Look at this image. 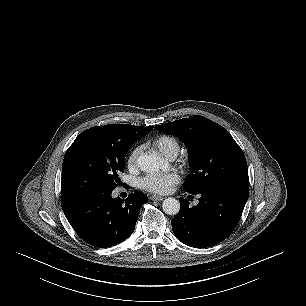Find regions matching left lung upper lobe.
<instances>
[{"label": "left lung upper lobe", "mask_w": 306, "mask_h": 306, "mask_svg": "<svg viewBox=\"0 0 306 306\" xmlns=\"http://www.w3.org/2000/svg\"><path fill=\"white\" fill-rule=\"evenodd\" d=\"M164 133L179 137L188 149L191 173L183 189L195 194L216 187L248 190L245 156L230 133L201 116L156 125Z\"/></svg>", "instance_id": "obj_1"}]
</instances>
